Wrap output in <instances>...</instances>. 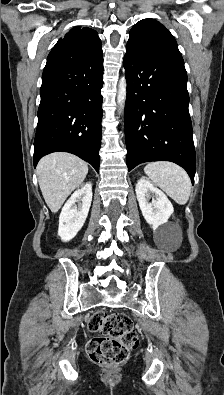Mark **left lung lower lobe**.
<instances>
[{
    "mask_svg": "<svg viewBox=\"0 0 224 395\" xmlns=\"http://www.w3.org/2000/svg\"><path fill=\"white\" fill-rule=\"evenodd\" d=\"M123 64L128 170L143 162L171 161L194 183L196 154L185 68L129 48Z\"/></svg>",
    "mask_w": 224,
    "mask_h": 395,
    "instance_id": "1",
    "label": "left lung lower lobe"
}]
</instances>
